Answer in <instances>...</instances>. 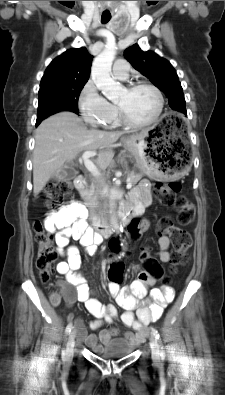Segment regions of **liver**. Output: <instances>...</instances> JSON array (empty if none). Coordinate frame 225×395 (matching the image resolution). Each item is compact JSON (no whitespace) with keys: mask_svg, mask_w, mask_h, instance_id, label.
Wrapping results in <instances>:
<instances>
[{"mask_svg":"<svg viewBox=\"0 0 225 395\" xmlns=\"http://www.w3.org/2000/svg\"><path fill=\"white\" fill-rule=\"evenodd\" d=\"M124 132L88 130L72 112H60L45 119L36 129L33 152V193L36 197L66 162L78 154L100 150L95 160L100 169L111 163L113 144Z\"/></svg>","mask_w":225,"mask_h":395,"instance_id":"obj_1","label":"liver"}]
</instances>
